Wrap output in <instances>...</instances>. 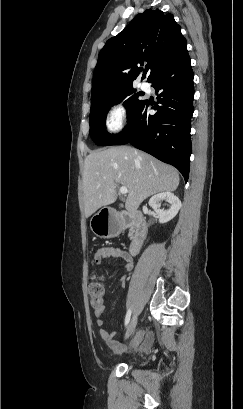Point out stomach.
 Listing matches in <instances>:
<instances>
[{"mask_svg": "<svg viewBox=\"0 0 243 409\" xmlns=\"http://www.w3.org/2000/svg\"><path fill=\"white\" fill-rule=\"evenodd\" d=\"M99 213L95 214L91 219V229L97 236L102 238H110L114 235V232L111 230L108 225L107 219H103V215Z\"/></svg>", "mask_w": 243, "mask_h": 409, "instance_id": "obj_1", "label": "stomach"}]
</instances>
